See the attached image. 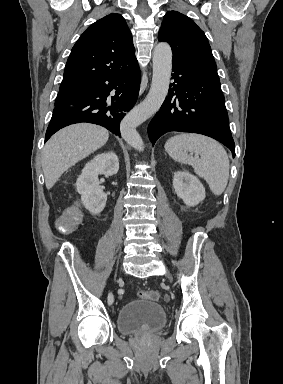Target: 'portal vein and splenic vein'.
I'll return each instance as SVG.
<instances>
[{
    "label": "portal vein and splenic vein",
    "instance_id": "18ae733b",
    "mask_svg": "<svg viewBox=\"0 0 283 384\" xmlns=\"http://www.w3.org/2000/svg\"><path fill=\"white\" fill-rule=\"evenodd\" d=\"M191 156H192V152H191ZM195 158H198V154H195Z\"/></svg>",
    "mask_w": 283,
    "mask_h": 384
}]
</instances>
